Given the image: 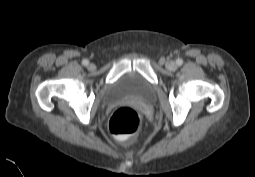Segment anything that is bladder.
Masks as SVG:
<instances>
[{
  "label": "bladder",
  "mask_w": 255,
  "mask_h": 177,
  "mask_svg": "<svg viewBox=\"0 0 255 177\" xmlns=\"http://www.w3.org/2000/svg\"><path fill=\"white\" fill-rule=\"evenodd\" d=\"M126 98H132L144 103L151 102L154 98V87L140 74L127 72L108 86L102 102L110 104Z\"/></svg>",
  "instance_id": "obj_1"
}]
</instances>
